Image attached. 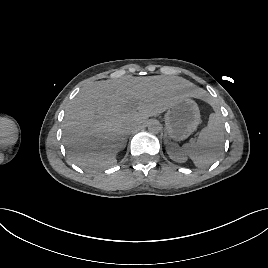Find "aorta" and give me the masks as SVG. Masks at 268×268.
Masks as SVG:
<instances>
[{
	"label": "aorta",
	"instance_id": "obj_1",
	"mask_svg": "<svg viewBox=\"0 0 268 268\" xmlns=\"http://www.w3.org/2000/svg\"><path fill=\"white\" fill-rule=\"evenodd\" d=\"M148 131L151 132V133H159L161 130H162V125L161 123L158 121V120H150L148 122Z\"/></svg>",
	"mask_w": 268,
	"mask_h": 268
}]
</instances>
